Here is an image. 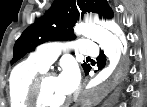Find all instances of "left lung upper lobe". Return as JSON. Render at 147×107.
I'll use <instances>...</instances> for the list:
<instances>
[{
  "instance_id": "1",
  "label": "left lung upper lobe",
  "mask_w": 147,
  "mask_h": 107,
  "mask_svg": "<svg viewBox=\"0 0 147 107\" xmlns=\"http://www.w3.org/2000/svg\"><path fill=\"white\" fill-rule=\"evenodd\" d=\"M86 12L97 13L100 18L108 20L114 17V12L106 0H54L44 16L36 19L16 41L11 64L42 43L73 40L76 37L73 26ZM82 67L86 71L90 65L84 63Z\"/></svg>"
}]
</instances>
